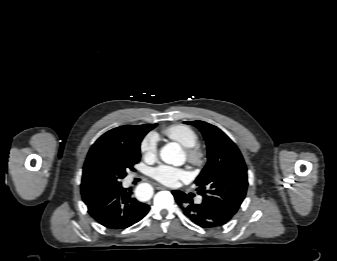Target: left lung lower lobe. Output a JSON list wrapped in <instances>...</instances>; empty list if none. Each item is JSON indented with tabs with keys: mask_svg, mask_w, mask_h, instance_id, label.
Returning <instances> with one entry per match:
<instances>
[{
	"mask_svg": "<svg viewBox=\"0 0 337 261\" xmlns=\"http://www.w3.org/2000/svg\"><path fill=\"white\" fill-rule=\"evenodd\" d=\"M183 213L202 228H217L229 222L233 215L212 201L203 199L201 204H193L181 191L172 192Z\"/></svg>",
	"mask_w": 337,
	"mask_h": 261,
	"instance_id": "left-lung-lower-lobe-1",
	"label": "left lung lower lobe"
}]
</instances>
